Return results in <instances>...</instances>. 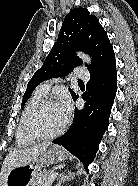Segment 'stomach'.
<instances>
[{
    "label": "stomach",
    "mask_w": 138,
    "mask_h": 186,
    "mask_svg": "<svg viewBox=\"0 0 138 186\" xmlns=\"http://www.w3.org/2000/svg\"><path fill=\"white\" fill-rule=\"evenodd\" d=\"M66 158L67 154L62 148L58 146L49 147L33 163L17 166L9 171L5 186H32L37 172L42 167L62 162Z\"/></svg>",
    "instance_id": "0dacf381"
}]
</instances>
